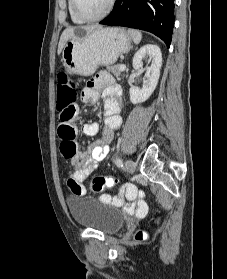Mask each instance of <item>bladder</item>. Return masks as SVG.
Wrapping results in <instances>:
<instances>
[{"instance_id":"1","label":"bladder","mask_w":227,"mask_h":279,"mask_svg":"<svg viewBox=\"0 0 227 279\" xmlns=\"http://www.w3.org/2000/svg\"><path fill=\"white\" fill-rule=\"evenodd\" d=\"M67 205L78 226L112 234L124 224L119 208L91 196L70 195L67 197Z\"/></svg>"}]
</instances>
